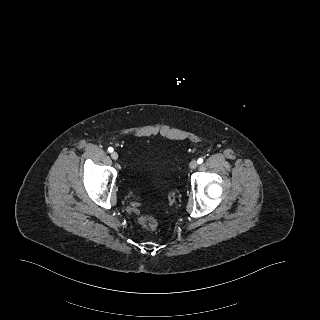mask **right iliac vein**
<instances>
[{"label": "right iliac vein", "mask_w": 320, "mask_h": 320, "mask_svg": "<svg viewBox=\"0 0 320 320\" xmlns=\"http://www.w3.org/2000/svg\"><path fill=\"white\" fill-rule=\"evenodd\" d=\"M111 158H112L113 160H117V159H118V154H117V152L111 153Z\"/></svg>", "instance_id": "right-iliac-vein-1"}]
</instances>
